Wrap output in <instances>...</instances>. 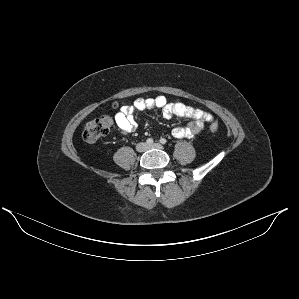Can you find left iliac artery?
<instances>
[{
  "label": "left iliac artery",
  "mask_w": 299,
  "mask_h": 299,
  "mask_svg": "<svg viewBox=\"0 0 299 299\" xmlns=\"http://www.w3.org/2000/svg\"><path fill=\"white\" fill-rule=\"evenodd\" d=\"M160 143H161V144H166V143H167V140H166L165 138H161V139H160Z\"/></svg>",
  "instance_id": "1"
}]
</instances>
